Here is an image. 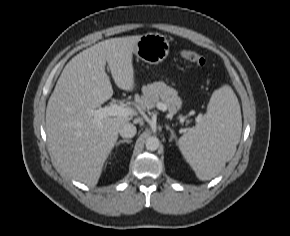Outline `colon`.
Masks as SVG:
<instances>
[{"label": "colon", "mask_w": 290, "mask_h": 236, "mask_svg": "<svg viewBox=\"0 0 290 236\" xmlns=\"http://www.w3.org/2000/svg\"><path fill=\"white\" fill-rule=\"evenodd\" d=\"M181 56L185 60H187V61H189L197 66H200V67H202L206 64V59L201 54H199L198 52H196L194 50H184V51H182Z\"/></svg>", "instance_id": "obj_1"}]
</instances>
